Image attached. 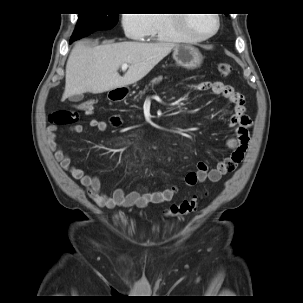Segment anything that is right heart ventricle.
<instances>
[{"label":"right heart ventricle","instance_id":"obj_1","mask_svg":"<svg viewBox=\"0 0 303 303\" xmlns=\"http://www.w3.org/2000/svg\"><path fill=\"white\" fill-rule=\"evenodd\" d=\"M150 28L146 37L158 38L167 42L187 40L176 14H151Z\"/></svg>","mask_w":303,"mask_h":303}]
</instances>
